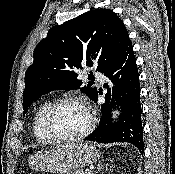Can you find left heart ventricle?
Listing matches in <instances>:
<instances>
[{
    "label": "left heart ventricle",
    "mask_w": 175,
    "mask_h": 174,
    "mask_svg": "<svg viewBox=\"0 0 175 174\" xmlns=\"http://www.w3.org/2000/svg\"><path fill=\"white\" fill-rule=\"evenodd\" d=\"M88 125L86 110L79 104L61 106L53 118L55 131L63 136H73L82 132Z\"/></svg>",
    "instance_id": "1"
}]
</instances>
